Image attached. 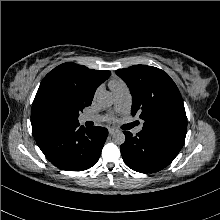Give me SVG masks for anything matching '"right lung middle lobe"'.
I'll use <instances>...</instances> for the list:
<instances>
[{
	"mask_svg": "<svg viewBox=\"0 0 220 220\" xmlns=\"http://www.w3.org/2000/svg\"><path fill=\"white\" fill-rule=\"evenodd\" d=\"M49 105L54 110H62L66 112L70 120L78 122L79 112L87 105L65 91H57L49 99Z\"/></svg>",
	"mask_w": 220,
	"mask_h": 220,
	"instance_id": "right-lung-middle-lobe-1",
	"label": "right lung middle lobe"
}]
</instances>
